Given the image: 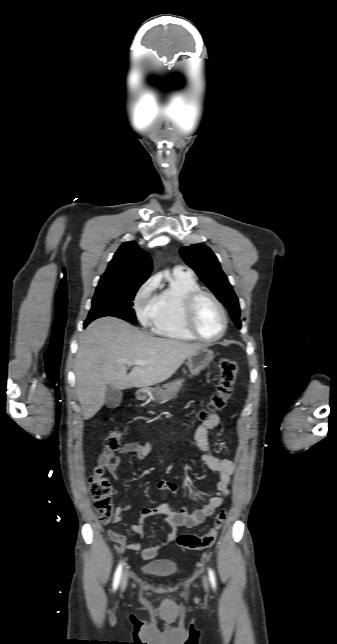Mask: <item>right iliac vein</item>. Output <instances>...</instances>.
I'll use <instances>...</instances> for the list:
<instances>
[{
	"label": "right iliac vein",
	"instance_id": "right-iliac-vein-1",
	"mask_svg": "<svg viewBox=\"0 0 337 644\" xmlns=\"http://www.w3.org/2000/svg\"><path fill=\"white\" fill-rule=\"evenodd\" d=\"M126 583H127V577H126V575H124L123 578H122V588L123 589L125 588Z\"/></svg>",
	"mask_w": 337,
	"mask_h": 644
}]
</instances>
